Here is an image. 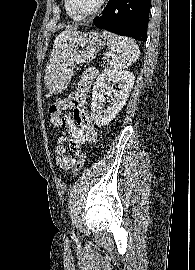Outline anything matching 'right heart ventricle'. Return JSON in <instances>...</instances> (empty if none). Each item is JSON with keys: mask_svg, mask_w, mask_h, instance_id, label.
<instances>
[{"mask_svg": "<svg viewBox=\"0 0 195 270\" xmlns=\"http://www.w3.org/2000/svg\"><path fill=\"white\" fill-rule=\"evenodd\" d=\"M65 9H66L67 14H68L72 19H74V20H79V19L75 18V17L68 11L67 6H66V2H65Z\"/></svg>", "mask_w": 195, "mask_h": 270, "instance_id": "right-heart-ventricle-1", "label": "right heart ventricle"}]
</instances>
